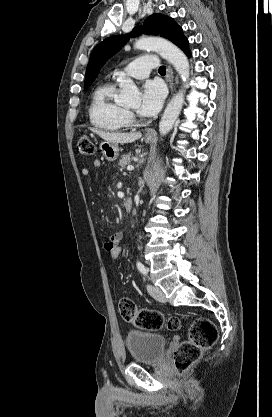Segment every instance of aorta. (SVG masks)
<instances>
[{"label": "aorta", "instance_id": "aorta-1", "mask_svg": "<svg viewBox=\"0 0 272 417\" xmlns=\"http://www.w3.org/2000/svg\"><path fill=\"white\" fill-rule=\"evenodd\" d=\"M134 48L138 50L157 51L168 60L176 69L183 82L189 80L190 68L186 55L174 44L158 37H141ZM121 91L119 102L123 105L135 106L140 104V92L132 79L120 81ZM184 90H180L168 103L159 123V132L162 136L168 134L178 118L184 103Z\"/></svg>", "mask_w": 272, "mask_h": 417}]
</instances>
